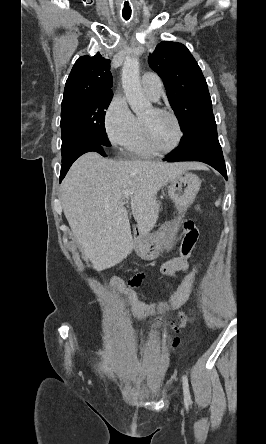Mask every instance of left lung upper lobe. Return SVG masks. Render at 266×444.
<instances>
[{
  "label": "left lung upper lobe",
  "mask_w": 266,
  "mask_h": 444,
  "mask_svg": "<svg viewBox=\"0 0 266 444\" xmlns=\"http://www.w3.org/2000/svg\"><path fill=\"white\" fill-rule=\"evenodd\" d=\"M148 62L163 79L170 105L183 131L213 116L206 80L185 45L161 42L149 56Z\"/></svg>",
  "instance_id": "left-lung-upper-lobe-1"
}]
</instances>
